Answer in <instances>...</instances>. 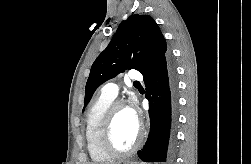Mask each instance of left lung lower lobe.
I'll return each mask as SVG.
<instances>
[{
  "mask_svg": "<svg viewBox=\"0 0 251 164\" xmlns=\"http://www.w3.org/2000/svg\"><path fill=\"white\" fill-rule=\"evenodd\" d=\"M149 100L150 131L139 158L144 162H168L173 157L177 124V81L168 55L144 76Z\"/></svg>",
  "mask_w": 251,
  "mask_h": 164,
  "instance_id": "1",
  "label": "left lung lower lobe"
}]
</instances>
